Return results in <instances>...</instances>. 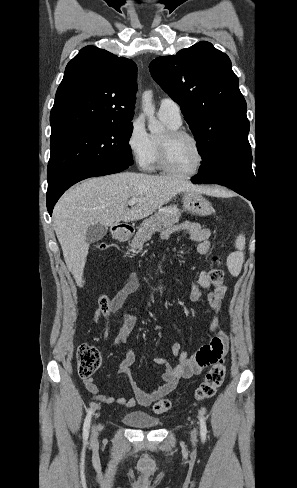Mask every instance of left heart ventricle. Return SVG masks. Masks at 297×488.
Returning <instances> with one entry per match:
<instances>
[{
    "mask_svg": "<svg viewBox=\"0 0 297 488\" xmlns=\"http://www.w3.org/2000/svg\"><path fill=\"white\" fill-rule=\"evenodd\" d=\"M166 135L162 138H165ZM169 157L172 167L180 172L193 170L198 162V152L194 143L185 138L178 139L171 144Z\"/></svg>",
    "mask_w": 297,
    "mask_h": 488,
    "instance_id": "left-heart-ventricle-1",
    "label": "left heart ventricle"
}]
</instances>
